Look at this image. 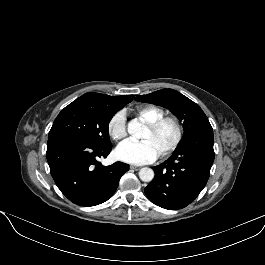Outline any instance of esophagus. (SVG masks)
<instances>
[{
    "mask_svg": "<svg viewBox=\"0 0 265 265\" xmlns=\"http://www.w3.org/2000/svg\"><path fill=\"white\" fill-rule=\"evenodd\" d=\"M130 168L133 170H139L141 168V166L131 165Z\"/></svg>",
    "mask_w": 265,
    "mask_h": 265,
    "instance_id": "obj_1",
    "label": "esophagus"
}]
</instances>
